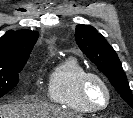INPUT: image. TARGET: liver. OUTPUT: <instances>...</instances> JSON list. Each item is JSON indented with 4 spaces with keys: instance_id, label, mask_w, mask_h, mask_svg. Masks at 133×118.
Returning a JSON list of instances; mask_svg holds the SVG:
<instances>
[{
    "instance_id": "obj_1",
    "label": "liver",
    "mask_w": 133,
    "mask_h": 118,
    "mask_svg": "<svg viewBox=\"0 0 133 118\" xmlns=\"http://www.w3.org/2000/svg\"><path fill=\"white\" fill-rule=\"evenodd\" d=\"M0 118H82V116L48 104L12 103L0 106Z\"/></svg>"
}]
</instances>
